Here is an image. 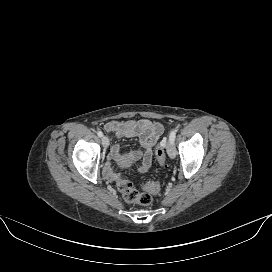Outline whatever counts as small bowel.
Returning a JSON list of instances; mask_svg holds the SVG:
<instances>
[{"label":"small bowel","instance_id":"small-bowel-1","mask_svg":"<svg viewBox=\"0 0 272 272\" xmlns=\"http://www.w3.org/2000/svg\"><path fill=\"white\" fill-rule=\"evenodd\" d=\"M104 130L115 134L118 138H137L140 150L121 153V144H116L111 149L114 158L135 160L141 158V171L146 170L152 161V149L164 131L162 124L150 120L109 121L105 123Z\"/></svg>","mask_w":272,"mask_h":272}]
</instances>
